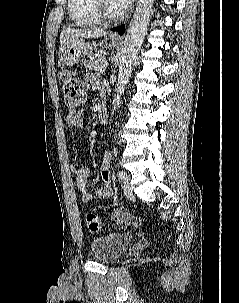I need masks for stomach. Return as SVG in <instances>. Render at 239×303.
<instances>
[{"label": "stomach", "mask_w": 239, "mask_h": 303, "mask_svg": "<svg viewBox=\"0 0 239 303\" xmlns=\"http://www.w3.org/2000/svg\"><path fill=\"white\" fill-rule=\"evenodd\" d=\"M118 41L112 37H106L99 45L105 49L113 48L117 45ZM89 42L84 39H78L64 45L60 51V60L67 66H73L79 63L85 56L92 54L95 49Z\"/></svg>", "instance_id": "1"}]
</instances>
